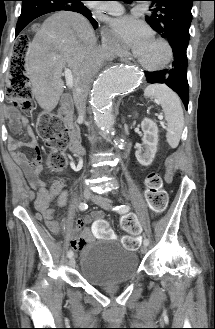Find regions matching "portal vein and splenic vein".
Masks as SVG:
<instances>
[{"mask_svg":"<svg viewBox=\"0 0 215 329\" xmlns=\"http://www.w3.org/2000/svg\"><path fill=\"white\" fill-rule=\"evenodd\" d=\"M64 75H65V78H66V83L69 87H72L73 86V75H72V72L70 71V69H67L65 68L64 69ZM158 118L160 120L163 119V116L162 115H158Z\"/></svg>","mask_w":215,"mask_h":329,"instance_id":"1","label":"portal vein and splenic vein"}]
</instances>
